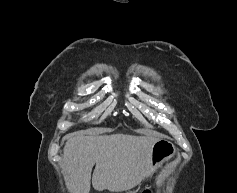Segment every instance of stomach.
Instances as JSON below:
<instances>
[{"mask_svg": "<svg viewBox=\"0 0 237 193\" xmlns=\"http://www.w3.org/2000/svg\"><path fill=\"white\" fill-rule=\"evenodd\" d=\"M176 153L175 146L168 140H158L151 151L150 165L146 177L150 176L160 165L172 159Z\"/></svg>", "mask_w": 237, "mask_h": 193, "instance_id": "stomach-1", "label": "stomach"}]
</instances>
